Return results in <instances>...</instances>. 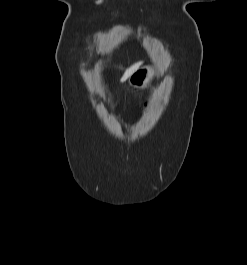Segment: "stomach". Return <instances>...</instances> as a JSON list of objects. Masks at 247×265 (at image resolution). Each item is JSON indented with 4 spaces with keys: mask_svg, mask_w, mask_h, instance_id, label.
I'll return each mask as SVG.
<instances>
[{
    "mask_svg": "<svg viewBox=\"0 0 247 265\" xmlns=\"http://www.w3.org/2000/svg\"><path fill=\"white\" fill-rule=\"evenodd\" d=\"M158 76V70L154 66H143L134 71L129 79L128 84L132 88L142 89L147 87Z\"/></svg>",
    "mask_w": 247,
    "mask_h": 265,
    "instance_id": "stomach-1",
    "label": "stomach"
}]
</instances>
